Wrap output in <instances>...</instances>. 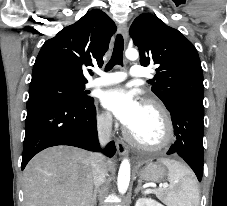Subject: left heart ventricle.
Wrapping results in <instances>:
<instances>
[{
  "instance_id": "b2bd125f",
  "label": "left heart ventricle",
  "mask_w": 227,
  "mask_h": 206,
  "mask_svg": "<svg viewBox=\"0 0 227 206\" xmlns=\"http://www.w3.org/2000/svg\"><path fill=\"white\" fill-rule=\"evenodd\" d=\"M142 142H157L163 134V127L158 114L151 108L143 106L142 114L131 130Z\"/></svg>"
}]
</instances>
